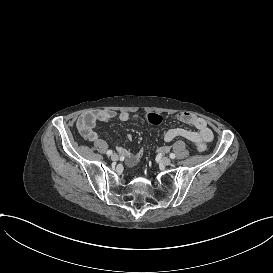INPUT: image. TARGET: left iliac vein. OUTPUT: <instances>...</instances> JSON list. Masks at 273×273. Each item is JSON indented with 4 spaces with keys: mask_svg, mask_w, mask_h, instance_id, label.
<instances>
[{
    "mask_svg": "<svg viewBox=\"0 0 273 273\" xmlns=\"http://www.w3.org/2000/svg\"><path fill=\"white\" fill-rule=\"evenodd\" d=\"M161 163L162 165H170L171 164V159L167 158V157H164L162 160H161Z\"/></svg>",
    "mask_w": 273,
    "mask_h": 273,
    "instance_id": "1",
    "label": "left iliac vein"
}]
</instances>
